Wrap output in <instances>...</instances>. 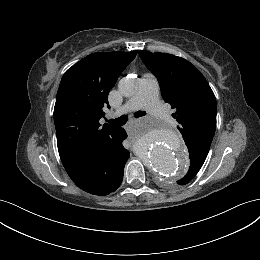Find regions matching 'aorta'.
<instances>
[{"mask_svg": "<svg viewBox=\"0 0 260 260\" xmlns=\"http://www.w3.org/2000/svg\"><path fill=\"white\" fill-rule=\"evenodd\" d=\"M139 87L136 79L124 77L119 81L118 89L126 97L133 96ZM147 136L143 152L146 164L158 176L175 178L188 168L187 154L177 133L161 122L145 119L139 122L133 136Z\"/></svg>", "mask_w": 260, "mask_h": 260, "instance_id": "1", "label": "aorta"}]
</instances>
